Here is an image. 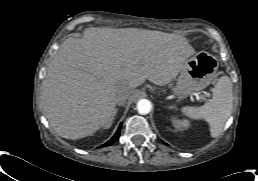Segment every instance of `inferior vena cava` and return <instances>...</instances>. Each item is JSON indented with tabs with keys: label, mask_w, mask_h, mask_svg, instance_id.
Masks as SVG:
<instances>
[{
	"label": "inferior vena cava",
	"mask_w": 258,
	"mask_h": 181,
	"mask_svg": "<svg viewBox=\"0 0 258 181\" xmlns=\"http://www.w3.org/2000/svg\"><path fill=\"white\" fill-rule=\"evenodd\" d=\"M128 95H129L128 93L119 95L117 97V104H119V105L123 104L126 101V99L128 98Z\"/></svg>",
	"instance_id": "1"
}]
</instances>
